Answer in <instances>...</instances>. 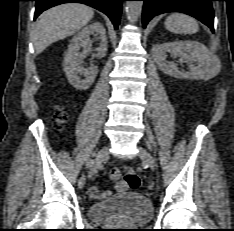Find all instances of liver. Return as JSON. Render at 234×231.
<instances>
[{
	"label": "liver",
	"instance_id": "obj_1",
	"mask_svg": "<svg viewBox=\"0 0 234 231\" xmlns=\"http://www.w3.org/2000/svg\"><path fill=\"white\" fill-rule=\"evenodd\" d=\"M93 15L91 7L78 3L58 5L43 12L33 32L36 54H40L50 44L75 34L89 23Z\"/></svg>",
	"mask_w": 234,
	"mask_h": 231
}]
</instances>
